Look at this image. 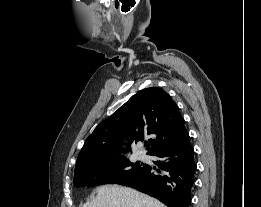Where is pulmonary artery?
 I'll return each instance as SVG.
<instances>
[{
  "instance_id": "obj_1",
  "label": "pulmonary artery",
  "mask_w": 261,
  "mask_h": 207,
  "mask_svg": "<svg viewBox=\"0 0 261 207\" xmlns=\"http://www.w3.org/2000/svg\"><path fill=\"white\" fill-rule=\"evenodd\" d=\"M141 159H142V160H147L148 158H147V156L142 155V156H141Z\"/></svg>"
}]
</instances>
